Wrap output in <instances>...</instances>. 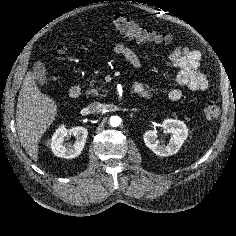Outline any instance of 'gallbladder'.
Returning a JSON list of instances; mask_svg holds the SVG:
<instances>
[{"instance_id": "gallbladder-1", "label": "gallbladder", "mask_w": 236, "mask_h": 236, "mask_svg": "<svg viewBox=\"0 0 236 236\" xmlns=\"http://www.w3.org/2000/svg\"><path fill=\"white\" fill-rule=\"evenodd\" d=\"M33 74L40 85H44L47 83V72L45 65L42 62L38 61L35 63Z\"/></svg>"}]
</instances>
